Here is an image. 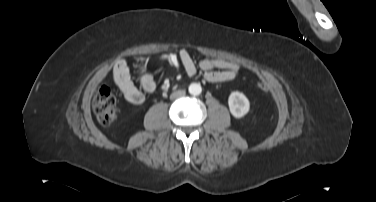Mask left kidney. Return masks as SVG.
<instances>
[{
	"mask_svg": "<svg viewBox=\"0 0 376 202\" xmlns=\"http://www.w3.org/2000/svg\"><path fill=\"white\" fill-rule=\"evenodd\" d=\"M228 104L231 114L236 118L245 116L250 109L249 100L243 93L238 91H234L229 95Z\"/></svg>",
	"mask_w": 376,
	"mask_h": 202,
	"instance_id": "left-kidney-1",
	"label": "left kidney"
}]
</instances>
